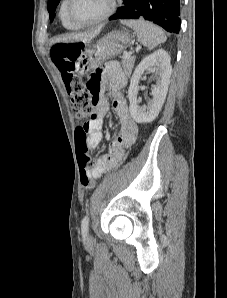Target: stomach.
<instances>
[{
    "instance_id": "stomach-1",
    "label": "stomach",
    "mask_w": 227,
    "mask_h": 298,
    "mask_svg": "<svg viewBox=\"0 0 227 298\" xmlns=\"http://www.w3.org/2000/svg\"><path fill=\"white\" fill-rule=\"evenodd\" d=\"M133 40L126 31H112L93 47L82 53L76 63V72L83 76L99 67L104 61L119 55Z\"/></svg>"
}]
</instances>
